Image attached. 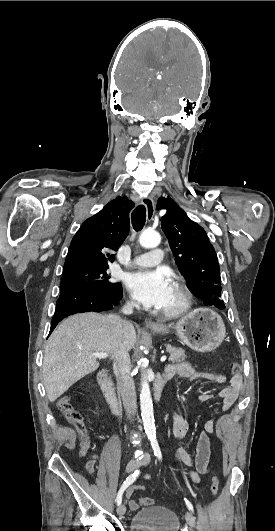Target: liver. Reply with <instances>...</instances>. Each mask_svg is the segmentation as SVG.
Masks as SVG:
<instances>
[{"mask_svg":"<svg viewBox=\"0 0 275 531\" xmlns=\"http://www.w3.org/2000/svg\"><path fill=\"white\" fill-rule=\"evenodd\" d=\"M109 315L78 313L65 319L56 327L45 347L43 381L50 403H54L79 379L99 367L91 353H107L114 357L116 337L127 351L133 349L137 339L129 321H123L121 333L108 323Z\"/></svg>","mask_w":275,"mask_h":531,"instance_id":"6515ba94","label":"liver"}]
</instances>
